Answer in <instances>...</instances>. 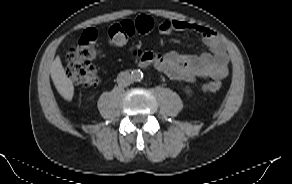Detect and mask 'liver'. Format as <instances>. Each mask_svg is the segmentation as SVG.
Instances as JSON below:
<instances>
[{
	"label": "liver",
	"mask_w": 292,
	"mask_h": 184,
	"mask_svg": "<svg viewBox=\"0 0 292 184\" xmlns=\"http://www.w3.org/2000/svg\"><path fill=\"white\" fill-rule=\"evenodd\" d=\"M50 73L59 94L65 100L71 101L74 94V86L72 81L67 77L59 56L53 61Z\"/></svg>",
	"instance_id": "liver-1"
}]
</instances>
